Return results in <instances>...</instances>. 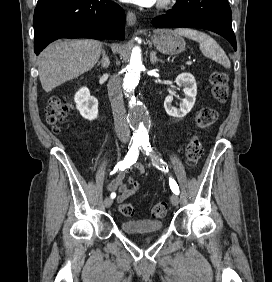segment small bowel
<instances>
[{"label": "small bowel", "instance_id": "small-bowel-1", "mask_svg": "<svg viewBox=\"0 0 272 282\" xmlns=\"http://www.w3.org/2000/svg\"><path fill=\"white\" fill-rule=\"evenodd\" d=\"M134 167L140 172H143V167L139 162L134 164ZM124 173L120 172L115 179H113L110 183L106 185V188L115 193L118 192L117 202L121 204L124 202L129 196L133 195L140 188V183L135 179L134 182H129V185L123 184Z\"/></svg>", "mask_w": 272, "mask_h": 282}]
</instances>
